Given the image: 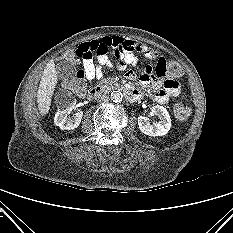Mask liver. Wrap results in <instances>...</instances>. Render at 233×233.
Masks as SVG:
<instances>
[{
  "label": "liver",
  "instance_id": "obj_1",
  "mask_svg": "<svg viewBox=\"0 0 233 233\" xmlns=\"http://www.w3.org/2000/svg\"><path fill=\"white\" fill-rule=\"evenodd\" d=\"M58 75L53 61L48 62L37 91L38 110L42 115L49 112L51 98L57 85Z\"/></svg>",
  "mask_w": 233,
  "mask_h": 233
}]
</instances>
